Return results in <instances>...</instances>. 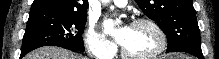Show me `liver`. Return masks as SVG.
<instances>
[{
    "mask_svg": "<svg viewBox=\"0 0 219 59\" xmlns=\"http://www.w3.org/2000/svg\"><path fill=\"white\" fill-rule=\"evenodd\" d=\"M24 59H87L58 47H42L25 56Z\"/></svg>",
    "mask_w": 219,
    "mask_h": 59,
    "instance_id": "6515ba94",
    "label": "liver"
}]
</instances>
